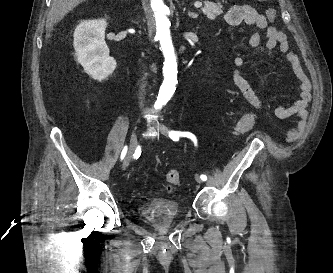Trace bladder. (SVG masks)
Instances as JSON below:
<instances>
[{"label":"bladder","instance_id":"bladder-1","mask_svg":"<svg viewBox=\"0 0 333 273\" xmlns=\"http://www.w3.org/2000/svg\"><path fill=\"white\" fill-rule=\"evenodd\" d=\"M137 212L158 228L169 227L182 216L178 203L169 199L140 204Z\"/></svg>","mask_w":333,"mask_h":273}]
</instances>
